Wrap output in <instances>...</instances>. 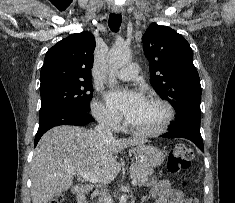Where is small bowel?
Segmentation results:
<instances>
[{"label": "small bowel", "mask_w": 235, "mask_h": 203, "mask_svg": "<svg viewBox=\"0 0 235 203\" xmlns=\"http://www.w3.org/2000/svg\"><path fill=\"white\" fill-rule=\"evenodd\" d=\"M151 195L154 203H182L183 197L182 192L172 188L167 180L152 181Z\"/></svg>", "instance_id": "1"}]
</instances>
